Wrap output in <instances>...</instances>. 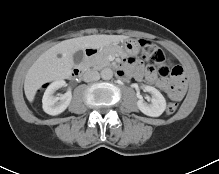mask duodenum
<instances>
[{
	"label": "duodenum",
	"instance_id": "obj_1",
	"mask_svg": "<svg viewBox=\"0 0 219 174\" xmlns=\"http://www.w3.org/2000/svg\"><path fill=\"white\" fill-rule=\"evenodd\" d=\"M97 52H98V48H94V47L87 48L84 53L82 65L73 69L72 77L80 78L86 70V65L88 64L90 59L97 54Z\"/></svg>",
	"mask_w": 219,
	"mask_h": 174
}]
</instances>
